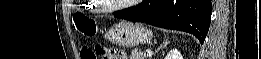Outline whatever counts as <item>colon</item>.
<instances>
[{
    "instance_id": "5ec220e1",
    "label": "colon",
    "mask_w": 261,
    "mask_h": 59,
    "mask_svg": "<svg viewBox=\"0 0 261 59\" xmlns=\"http://www.w3.org/2000/svg\"><path fill=\"white\" fill-rule=\"evenodd\" d=\"M72 23L77 33L89 38L95 36L97 25L94 19L83 16L81 14H76L73 17ZM80 55L82 59H116L118 54L101 44H97L95 45L94 49L87 47L82 48Z\"/></svg>"
}]
</instances>
